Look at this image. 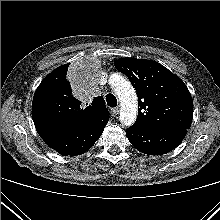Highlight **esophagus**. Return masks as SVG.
<instances>
[{
    "mask_svg": "<svg viewBox=\"0 0 220 220\" xmlns=\"http://www.w3.org/2000/svg\"><path fill=\"white\" fill-rule=\"evenodd\" d=\"M119 113V108H112L111 109V114L112 116H117Z\"/></svg>",
    "mask_w": 220,
    "mask_h": 220,
    "instance_id": "obj_1",
    "label": "esophagus"
}]
</instances>
